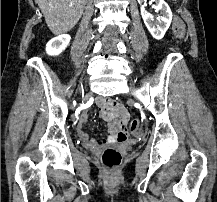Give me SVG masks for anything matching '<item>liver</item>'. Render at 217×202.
<instances>
[{
	"label": "liver",
	"instance_id": "liver-1",
	"mask_svg": "<svg viewBox=\"0 0 217 202\" xmlns=\"http://www.w3.org/2000/svg\"><path fill=\"white\" fill-rule=\"evenodd\" d=\"M35 2L49 30L55 36H61L65 32H70L79 22L87 0H35Z\"/></svg>",
	"mask_w": 217,
	"mask_h": 202
}]
</instances>
